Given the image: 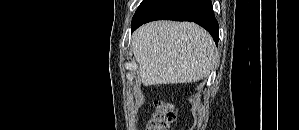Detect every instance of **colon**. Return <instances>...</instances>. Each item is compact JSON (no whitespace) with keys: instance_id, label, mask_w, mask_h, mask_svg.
<instances>
[{"instance_id":"5ec220e1","label":"colon","mask_w":299,"mask_h":130,"mask_svg":"<svg viewBox=\"0 0 299 130\" xmlns=\"http://www.w3.org/2000/svg\"><path fill=\"white\" fill-rule=\"evenodd\" d=\"M176 119L175 108L165 101L155 102V112L148 122L146 130H170Z\"/></svg>"}]
</instances>
